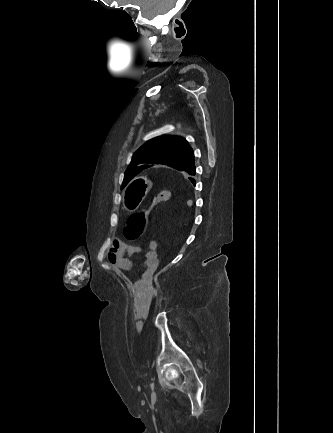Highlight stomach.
<instances>
[{"label":"stomach","instance_id":"stomach-1","mask_svg":"<svg viewBox=\"0 0 333 433\" xmlns=\"http://www.w3.org/2000/svg\"><path fill=\"white\" fill-rule=\"evenodd\" d=\"M152 187L147 177L132 180L125 188L123 207L127 212L136 211Z\"/></svg>","mask_w":333,"mask_h":433}]
</instances>
